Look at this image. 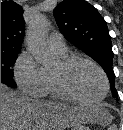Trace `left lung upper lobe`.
I'll use <instances>...</instances> for the list:
<instances>
[{
  "label": "left lung upper lobe",
  "instance_id": "obj_1",
  "mask_svg": "<svg viewBox=\"0 0 123 130\" xmlns=\"http://www.w3.org/2000/svg\"><path fill=\"white\" fill-rule=\"evenodd\" d=\"M54 17L66 39L101 65L109 78L112 96L117 98L111 37L97 9L85 0H64L55 8Z\"/></svg>",
  "mask_w": 123,
  "mask_h": 130
}]
</instances>
